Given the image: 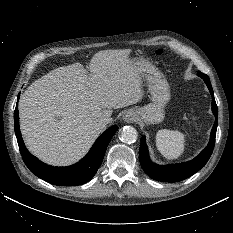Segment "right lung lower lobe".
<instances>
[{"mask_svg": "<svg viewBox=\"0 0 233 233\" xmlns=\"http://www.w3.org/2000/svg\"><path fill=\"white\" fill-rule=\"evenodd\" d=\"M14 128L23 161L33 174L54 185L76 186L88 182L96 174L104 158L106 148L118 126L115 125L106 130L82 160L68 167L46 165L26 149L19 129L18 105L14 111Z\"/></svg>", "mask_w": 233, "mask_h": 233, "instance_id": "1", "label": "right lung lower lobe"}]
</instances>
